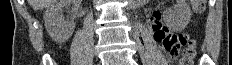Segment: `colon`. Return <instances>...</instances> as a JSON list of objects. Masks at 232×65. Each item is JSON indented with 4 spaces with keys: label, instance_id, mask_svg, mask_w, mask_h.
<instances>
[{
    "label": "colon",
    "instance_id": "colon-1",
    "mask_svg": "<svg viewBox=\"0 0 232 65\" xmlns=\"http://www.w3.org/2000/svg\"><path fill=\"white\" fill-rule=\"evenodd\" d=\"M206 0H192V5L197 13L204 10ZM162 47L170 58L178 55L181 49H184L183 56L180 59V65H193L195 57L194 42L189 40L185 34L168 33L163 37Z\"/></svg>",
    "mask_w": 232,
    "mask_h": 65
}]
</instances>
